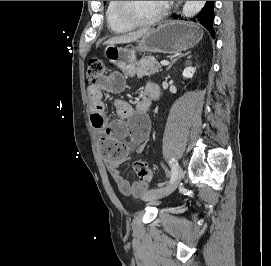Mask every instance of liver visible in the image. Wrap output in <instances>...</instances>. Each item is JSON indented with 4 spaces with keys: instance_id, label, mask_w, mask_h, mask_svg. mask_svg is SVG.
Returning a JSON list of instances; mask_svg holds the SVG:
<instances>
[{
    "instance_id": "obj_1",
    "label": "liver",
    "mask_w": 271,
    "mask_h": 266,
    "mask_svg": "<svg viewBox=\"0 0 271 266\" xmlns=\"http://www.w3.org/2000/svg\"><path fill=\"white\" fill-rule=\"evenodd\" d=\"M150 31L149 28H143L135 32H130L127 34H123L120 36H115L107 40L104 44L105 45H115V44H124L137 41L138 39L142 38L145 34Z\"/></svg>"
}]
</instances>
